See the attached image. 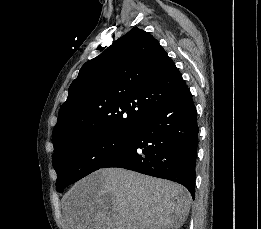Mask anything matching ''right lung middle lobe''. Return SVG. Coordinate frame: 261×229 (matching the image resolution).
Listing matches in <instances>:
<instances>
[{"label": "right lung middle lobe", "instance_id": "obj_1", "mask_svg": "<svg viewBox=\"0 0 261 229\" xmlns=\"http://www.w3.org/2000/svg\"><path fill=\"white\" fill-rule=\"evenodd\" d=\"M133 134L114 135L89 132L76 135L54 149L53 167L57 172L56 189L64 188L86 175L102 168L126 150Z\"/></svg>", "mask_w": 261, "mask_h": 229}]
</instances>
